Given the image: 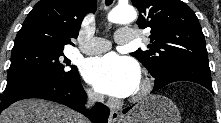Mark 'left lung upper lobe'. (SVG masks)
Returning a JSON list of instances; mask_svg holds the SVG:
<instances>
[{
    "label": "left lung upper lobe",
    "instance_id": "obj_1",
    "mask_svg": "<svg viewBox=\"0 0 221 123\" xmlns=\"http://www.w3.org/2000/svg\"><path fill=\"white\" fill-rule=\"evenodd\" d=\"M137 24L151 28L149 50L131 53L155 78L173 67L209 68L205 38L195 13L180 0H132Z\"/></svg>",
    "mask_w": 221,
    "mask_h": 123
}]
</instances>
